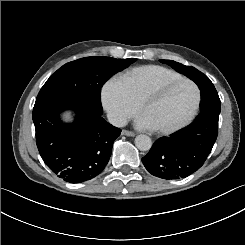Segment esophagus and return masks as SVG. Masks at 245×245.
<instances>
[{
  "label": "esophagus",
  "mask_w": 245,
  "mask_h": 245,
  "mask_svg": "<svg viewBox=\"0 0 245 245\" xmlns=\"http://www.w3.org/2000/svg\"><path fill=\"white\" fill-rule=\"evenodd\" d=\"M121 134L124 135V136H135L134 132H131V131H128V130H122Z\"/></svg>",
  "instance_id": "esophagus-1"
}]
</instances>
